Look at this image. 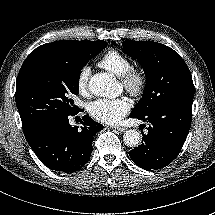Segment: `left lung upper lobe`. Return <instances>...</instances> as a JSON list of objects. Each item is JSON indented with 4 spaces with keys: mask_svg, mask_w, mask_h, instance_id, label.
Masks as SVG:
<instances>
[{
    "mask_svg": "<svg viewBox=\"0 0 215 215\" xmlns=\"http://www.w3.org/2000/svg\"><path fill=\"white\" fill-rule=\"evenodd\" d=\"M123 49L140 63L146 74L143 97L130 116H146L161 106L193 100L191 73L172 48L153 41H124Z\"/></svg>",
    "mask_w": 215,
    "mask_h": 215,
    "instance_id": "obj_1",
    "label": "left lung upper lobe"
}]
</instances>
